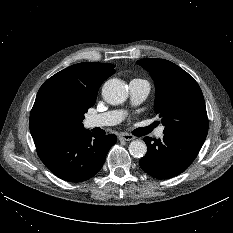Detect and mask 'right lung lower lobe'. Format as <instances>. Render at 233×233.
I'll use <instances>...</instances> for the list:
<instances>
[{
    "instance_id": "right-lung-lower-lobe-1",
    "label": "right lung lower lobe",
    "mask_w": 233,
    "mask_h": 233,
    "mask_svg": "<svg viewBox=\"0 0 233 233\" xmlns=\"http://www.w3.org/2000/svg\"><path fill=\"white\" fill-rule=\"evenodd\" d=\"M117 137L89 130L57 133L35 142L41 161L57 177L69 182L90 179L103 166Z\"/></svg>"
}]
</instances>
